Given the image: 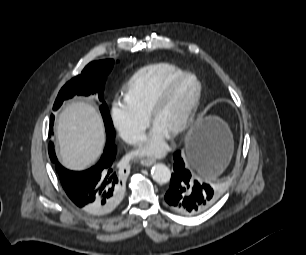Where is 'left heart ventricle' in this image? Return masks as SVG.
Returning a JSON list of instances; mask_svg holds the SVG:
<instances>
[{"label": "left heart ventricle", "instance_id": "1", "mask_svg": "<svg viewBox=\"0 0 306 255\" xmlns=\"http://www.w3.org/2000/svg\"><path fill=\"white\" fill-rule=\"evenodd\" d=\"M196 90L194 80L185 81L160 110L154 124L170 133L183 118Z\"/></svg>", "mask_w": 306, "mask_h": 255}]
</instances>
